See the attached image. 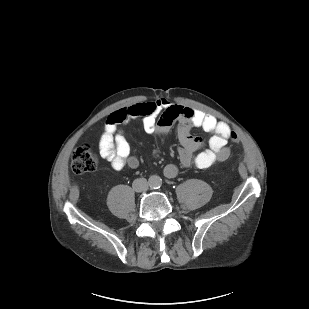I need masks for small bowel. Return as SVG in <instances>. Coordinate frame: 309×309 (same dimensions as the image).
<instances>
[{
    "instance_id": "1",
    "label": "small bowel",
    "mask_w": 309,
    "mask_h": 309,
    "mask_svg": "<svg viewBox=\"0 0 309 309\" xmlns=\"http://www.w3.org/2000/svg\"><path fill=\"white\" fill-rule=\"evenodd\" d=\"M133 119H141L144 130L157 136L165 135L172 123H178V154L184 168L206 169L225 161L230 155L227 142L231 134L230 126L218 121L213 115L188 106L177 105L167 99L137 102L111 113L106 121L104 132L99 140V152L102 158L110 162L115 170L125 167L135 169L139 161L131 155V146L118 131L119 125H126ZM191 127L202 128L209 132L208 148L195 153L201 146V140L193 136ZM177 166L169 164L164 168L167 178H175Z\"/></svg>"
}]
</instances>
